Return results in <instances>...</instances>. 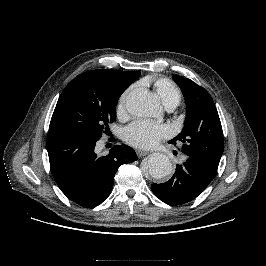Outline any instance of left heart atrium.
I'll return each mask as SVG.
<instances>
[{"label":"left heart atrium","instance_id":"1","mask_svg":"<svg viewBox=\"0 0 266 266\" xmlns=\"http://www.w3.org/2000/svg\"><path fill=\"white\" fill-rule=\"evenodd\" d=\"M170 135V129L150 120H136L124 129V140L131 146L148 149Z\"/></svg>","mask_w":266,"mask_h":266}]
</instances>
